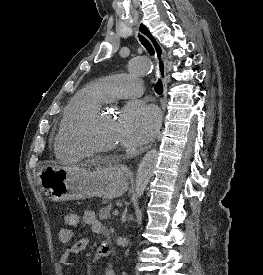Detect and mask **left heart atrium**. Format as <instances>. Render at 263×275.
I'll return each instance as SVG.
<instances>
[{"instance_id": "left-heart-atrium-1", "label": "left heart atrium", "mask_w": 263, "mask_h": 275, "mask_svg": "<svg viewBox=\"0 0 263 275\" xmlns=\"http://www.w3.org/2000/svg\"><path fill=\"white\" fill-rule=\"evenodd\" d=\"M158 109L143 101H132L122 110L118 118V131L123 143L139 146L150 140L158 130Z\"/></svg>"}]
</instances>
